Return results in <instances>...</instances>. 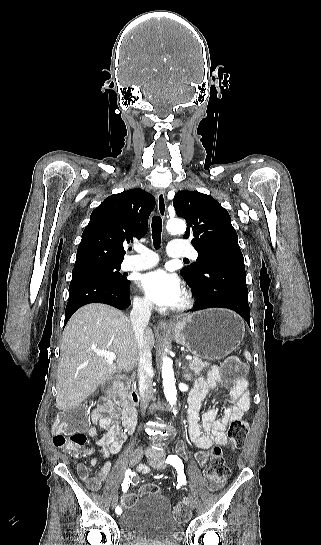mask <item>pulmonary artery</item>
Returning a JSON list of instances; mask_svg holds the SVG:
<instances>
[{"mask_svg": "<svg viewBox=\"0 0 321 545\" xmlns=\"http://www.w3.org/2000/svg\"><path fill=\"white\" fill-rule=\"evenodd\" d=\"M170 259L172 261H193L197 256L195 255V249L193 246H188L186 241H173L169 245ZM143 257L145 260H137L126 258L121 263L122 270L125 271H142L155 266L159 259L156 258V253L145 249Z\"/></svg>", "mask_w": 321, "mask_h": 545, "instance_id": "e3ab8cb5", "label": "pulmonary artery"}]
</instances>
